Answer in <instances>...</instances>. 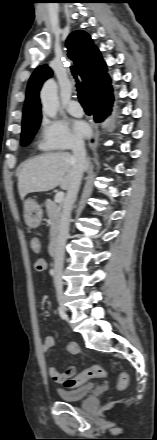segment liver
<instances>
[{
  "label": "liver",
  "mask_w": 157,
  "mask_h": 440,
  "mask_svg": "<svg viewBox=\"0 0 157 440\" xmlns=\"http://www.w3.org/2000/svg\"><path fill=\"white\" fill-rule=\"evenodd\" d=\"M89 167L86 160L84 171ZM74 176L73 155L68 152H54L39 155L21 165L18 171L20 198L29 193L45 192L60 186L68 190Z\"/></svg>",
  "instance_id": "6515ba94"
}]
</instances>
